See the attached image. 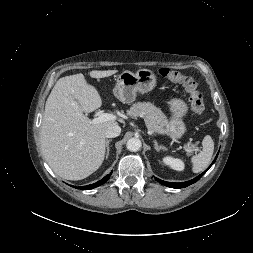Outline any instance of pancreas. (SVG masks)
I'll list each match as a JSON object with an SVG mask.
<instances>
[{
  "label": "pancreas",
  "mask_w": 253,
  "mask_h": 253,
  "mask_svg": "<svg viewBox=\"0 0 253 253\" xmlns=\"http://www.w3.org/2000/svg\"><path fill=\"white\" fill-rule=\"evenodd\" d=\"M131 117L141 116L145 119L146 126L153 133H166L169 124L163 112L150 102H138L127 111ZM193 147V146H192Z\"/></svg>",
  "instance_id": "obj_1"
}]
</instances>
